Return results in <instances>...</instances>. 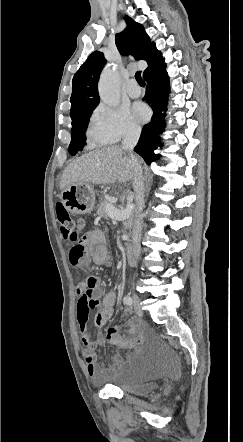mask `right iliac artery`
<instances>
[{"label":"right iliac artery","mask_w":243,"mask_h":442,"mask_svg":"<svg viewBox=\"0 0 243 442\" xmlns=\"http://www.w3.org/2000/svg\"><path fill=\"white\" fill-rule=\"evenodd\" d=\"M123 302H124V304H126L128 306H131L133 304V300L129 295H127L123 298Z\"/></svg>","instance_id":"82829eb1"}]
</instances>
